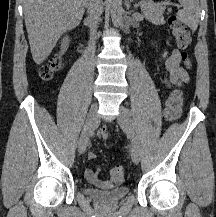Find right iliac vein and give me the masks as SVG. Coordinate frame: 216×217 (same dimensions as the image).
<instances>
[{"label":"right iliac vein","mask_w":216,"mask_h":217,"mask_svg":"<svg viewBox=\"0 0 216 217\" xmlns=\"http://www.w3.org/2000/svg\"><path fill=\"white\" fill-rule=\"evenodd\" d=\"M98 124L97 104H93L87 115L83 130L78 140V152L83 154L87 148L89 137Z\"/></svg>","instance_id":"right-iliac-vein-1"}]
</instances>
